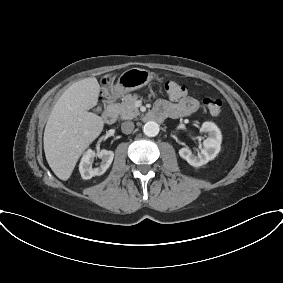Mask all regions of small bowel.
I'll return each instance as SVG.
<instances>
[{
  "label": "small bowel",
  "mask_w": 283,
  "mask_h": 283,
  "mask_svg": "<svg viewBox=\"0 0 283 283\" xmlns=\"http://www.w3.org/2000/svg\"><path fill=\"white\" fill-rule=\"evenodd\" d=\"M198 108L199 102L195 97L184 95L178 99L171 98V102L159 100L154 111L165 113L167 117H185L196 112Z\"/></svg>",
  "instance_id": "small-bowel-1"
}]
</instances>
